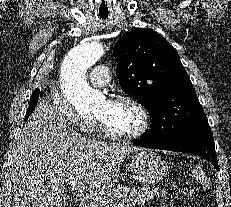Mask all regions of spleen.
Returning <instances> with one entry per match:
<instances>
[{"mask_svg":"<svg viewBox=\"0 0 231 207\" xmlns=\"http://www.w3.org/2000/svg\"><path fill=\"white\" fill-rule=\"evenodd\" d=\"M200 167L199 166H195L192 173L196 176L197 180H201L200 176H201V171H200Z\"/></svg>","mask_w":231,"mask_h":207,"instance_id":"1","label":"spleen"}]
</instances>
